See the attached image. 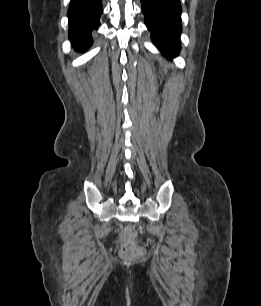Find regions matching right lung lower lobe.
<instances>
[{
	"instance_id": "98d812e1",
	"label": "right lung lower lobe",
	"mask_w": 261,
	"mask_h": 306,
	"mask_svg": "<svg viewBox=\"0 0 261 306\" xmlns=\"http://www.w3.org/2000/svg\"><path fill=\"white\" fill-rule=\"evenodd\" d=\"M102 12L101 0H71L68 10L69 37L79 51L91 45V32L98 28Z\"/></svg>"
}]
</instances>
